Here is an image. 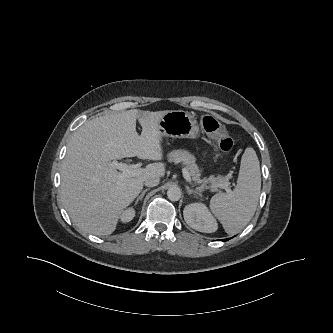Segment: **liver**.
Instances as JSON below:
<instances>
[{
    "label": "liver",
    "mask_w": 333,
    "mask_h": 333,
    "mask_svg": "<svg viewBox=\"0 0 333 333\" xmlns=\"http://www.w3.org/2000/svg\"><path fill=\"white\" fill-rule=\"evenodd\" d=\"M168 111L131 109L84 123L72 136L61 170V197L72 222L86 233L109 235L123 210L141 192L145 179L163 177V163L140 175L121 177L108 163L125 157L162 160L159 121ZM138 119L142 133L136 132Z\"/></svg>",
    "instance_id": "obj_1"
}]
</instances>
